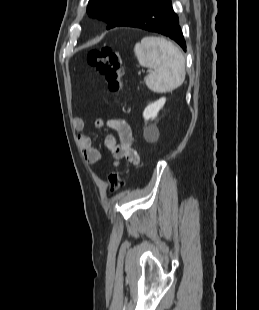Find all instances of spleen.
I'll use <instances>...</instances> for the list:
<instances>
[{"label":"spleen","instance_id":"3e777b00","mask_svg":"<svg viewBox=\"0 0 259 310\" xmlns=\"http://www.w3.org/2000/svg\"><path fill=\"white\" fill-rule=\"evenodd\" d=\"M134 53L141 66L152 70L144 78L151 91L166 93L183 84L185 58L171 41L163 37H144L135 44Z\"/></svg>","mask_w":259,"mask_h":310}]
</instances>
